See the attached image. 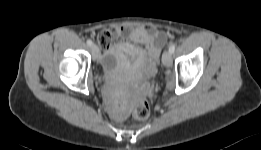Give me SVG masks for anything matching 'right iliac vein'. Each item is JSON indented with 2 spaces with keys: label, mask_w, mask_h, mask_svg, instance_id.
Segmentation results:
<instances>
[{
  "label": "right iliac vein",
  "mask_w": 261,
  "mask_h": 150,
  "mask_svg": "<svg viewBox=\"0 0 261 150\" xmlns=\"http://www.w3.org/2000/svg\"><path fill=\"white\" fill-rule=\"evenodd\" d=\"M91 51L94 58H97L99 56V48L96 44L91 45Z\"/></svg>",
  "instance_id": "obj_1"
}]
</instances>
